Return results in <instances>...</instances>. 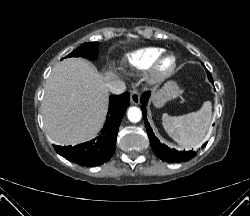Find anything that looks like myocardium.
Wrapping results in <instances>:
<instances>
[{
  "label": "myocardium",
  "mask_w": 250,
  "mask_h": 216,
  "mask_svg": "<svg viewBox=\"0 0 250 216\" xmlns=\"http://www.w3.org/2000/svg\"><path fill=\"white\" fill-rule=\"evenodd\" d=\"M170 60L167 68L163 67L164 61ZM177 66L176 56L172 53L163 52L152 62L147 72V79L151 85H160L165 82L175 71Z\"/></svg>",
  "instance_id": "f54148a6"
}]
</instances>
